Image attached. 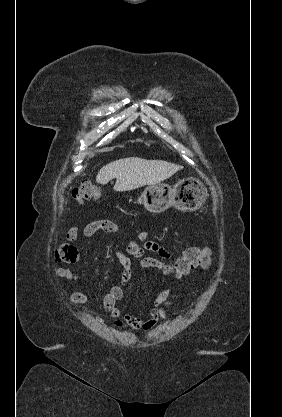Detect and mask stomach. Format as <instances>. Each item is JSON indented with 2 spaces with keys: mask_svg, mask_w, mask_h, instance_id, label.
Returning a JSON list of instances; mask_svg holds the SVG:
<instances>
[{
  "mask_svg": "<svg viewBox=\"0 0 282 417\" xmlns=\"http://www.w3.org/2000/svg\"><path fill=\"white\" fill-rule=\"evenodd\" d=\"M207 196V188L194 178H182L170 186L166 182L150 184L141 192L138 202L144 204L149 213H163L174 206L182 213L198 211Z\"/></svg>",
  "mask_w": 282,
  "mask_h": 417,
  "instance_id": "1",
  "label": "stomach"
}]
</instances>
